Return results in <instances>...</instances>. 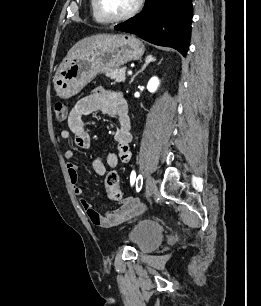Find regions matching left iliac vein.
Returning a JSON list of instances; mask_svg holds the SVG:
<instances>
[{
  "instance_id": "4c4485c4",
  "label": "left iliac vein",
  "mask_w": 261,
  "mask_h": 306,
  "mask_svg": "<svg viewBox=\"0 0 261 306\" xmlns=\"http://www.w3.org/2000/svg\"><path fill=\"white\" fill-rule=\"evenodd\" d=\"M156 189V182L153 177L148 176L146 180V197L149 198Z\"/></svg>"
}]
</instances>
